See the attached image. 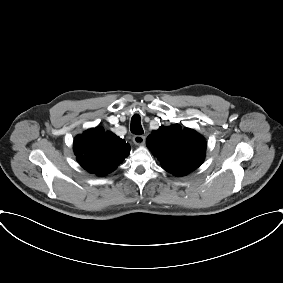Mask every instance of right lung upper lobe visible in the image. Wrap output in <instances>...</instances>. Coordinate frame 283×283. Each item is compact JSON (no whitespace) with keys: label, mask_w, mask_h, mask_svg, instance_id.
Wrapping results in <instances>:
<instances>
[{"label":"right lung upper lobe","mask_w":283,"mask_h":283,"mask_svg":"<svg viewBox=\"0 0 283 283\" xmlns=\"http://www.w3.org/2000/svg\"><path fill=\"white\" fill-rule=\"evenodd\" d=\"M74 151L84 169L105 176L128 156L130 145L112 132L96 127L75 138Z\"/></svg>","instance_id":"cb5924a9"}]
</instances>
